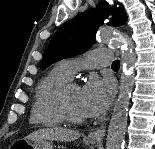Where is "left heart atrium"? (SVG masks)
<instances>
[{
    "label": "left heart atrium",
    "instance_id": "left-heart-atrium-1",
    "mask_svg": "<svg viewBox=\"0 0 155 149\" xmlns=\"http://www.w3.org/2000/svg\"><path fill=\"white\" fill-rule=\"evenodd\" d=\"M114 84L110 79L92 77L81 89V105L87 117L104 113L113 98Z\"/></svg>",
    "mask_w": 155,
    "mask_h": 149
}]
</instances>
